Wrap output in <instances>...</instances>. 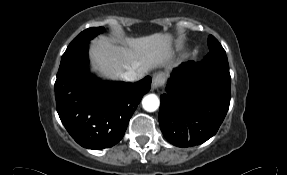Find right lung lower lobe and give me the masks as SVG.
Masks as SVG:
<instances>
[{
    "mask_svg": "<svg viewBox=\"0 0 287 175\" xmlns=\"http://www.w3.org/2000/svg\"><path fill=\"white\" fill-rule=\"evenodd\" d=\"M88 42L62 56L55 82L56 107L72 138L89 149L118 143L151 77L135 83L101 81L88 71Z\"/></svg>",
    "mask_w": 287,
    "mask_h": 175,
    "instance_id": "obj_1",
    "label": "right lung lower lobe"
}]
</instances>
